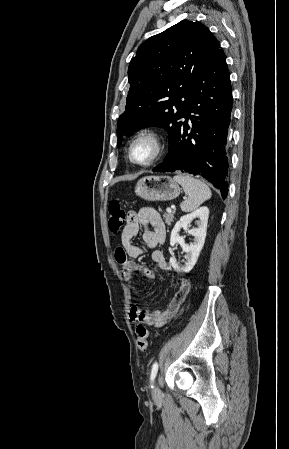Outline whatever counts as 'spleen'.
<instances>
[{"label":"spleen","mask_w":289,"mask_h":449,"mask_svg":"<svg viewBox=\"0 0 289 449\" xmlns=\"http://www.w3.org/2000/svg\"><path fill=\"white\" fill-rule=\"evenodd\" d=\"M173 179L183 187L187 195L180 205L183 212L194 211L203 202L211 198V190L203 181L180 173L175 175Z\"/></svg>","instance_id":"3e777b00"}]
</instances>
